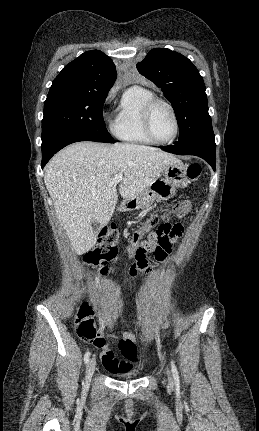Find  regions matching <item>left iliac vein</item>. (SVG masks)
<instances>
[{"label": "left iliac vein", "mask_w": 259, "mask_h": 431, "mask_svg": "<svg viewBox=\"0 0 259 431\" xmlns=\"http://www.w3.org/2000/svg\"><path fill=\"white\" fill-rule=\"evenodd\" d=\"M167 375H168V381H169V383L173 384V379H172L171 374H170V372H169L168 369H167Z\"/></svg>", "instance_id": "1"}]
</instances>
